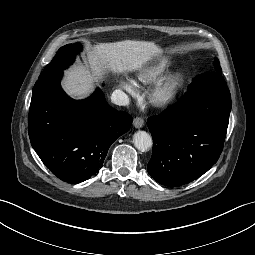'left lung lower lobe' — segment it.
<instances>
[{
  "mask_svg": "<svg viewBox=\"0 0 255 255\" xmlns=\"http://www.w3.org/2000/svg\"><path fill=\"white\" fill-rule=\"evenodd\" d=\"M230 111L231 95L221 73L196 76L176 105L147 120L153 138L149 174L171 187L203 175L222 152Z\"/></svg>",
  "mask_w": 255,
  "mask_h": 255,
  "instance_id": "left-lung-lower-lobe-1",
  "label": "left lung lower lobe"
}]
</instances>
